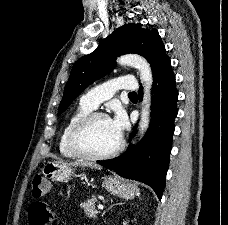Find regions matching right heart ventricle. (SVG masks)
I'll return each instance as SVG.
<instances>
[{
	"mask_svg": "<svg viewBox=\"0 0 228 225\" xmlns=\"http://www.w3.org/2000/svg\"><path fill=\"white\" fill-rule=\"evenodd\" d=\"M92 110H93L92 108L79 103L78 106L76 107V109L73 111V113L69 117L66 125L64 126V128L62 130V133H61L60 139H59V151L64 157L72 158V159L81 157L71 150L70 145H69V136H70V133H71L73 127L75 126V124L81 118H83L87 114L91 113Z\"/></svg>",
	"mask_w": 228,
	"mask_h": 225,
	"instance_id": "obj_1",
	"label": "right heart ventricle"
}]
</instances>
